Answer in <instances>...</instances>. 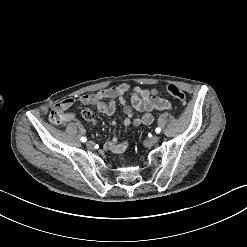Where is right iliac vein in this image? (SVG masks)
Here are the masks:
<instances>
[{
	"mask_svg": "<svg viewBox=\"0 0 247 247\" xmlns=\"http://www.w3.org/2000/svg\"><path fill=\"white\" fill-rule=\"evenodd\" d=\"M86 146H87L88 149H93L94 148V142L88 141Z\"/></svg>",
	"mask_w": 247,
	"mask_h": 247,
	"instance_id": "1",
	"label": "right iliac vein"
}]
</instances>
